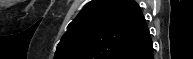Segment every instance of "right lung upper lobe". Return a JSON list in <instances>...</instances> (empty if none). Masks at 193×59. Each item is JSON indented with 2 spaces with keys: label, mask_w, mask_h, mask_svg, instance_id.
I'll use <instances>...</instances> for the list:
<instances>
[{
  "label": "right lung upper lobe",
  "mask_w": 193,
  "mask_h": 59,
  "mask_svg": "<svg viewBox=\"0 0 193 59\" xmlns=\"http://www.w3.org/2000/svg\"><path fill=\"white\" fill-rule=\"evenodd\" d=\"M150 40L134 0H92L68 25L54 59H126Z\"/></svg>",
  "instance_id": "right-lung-upper-lobe-1"
}]
</instances>
